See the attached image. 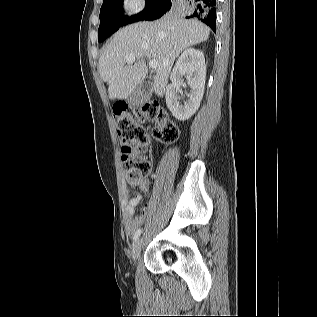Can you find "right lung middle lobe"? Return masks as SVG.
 <instances>
[{"instance_id": "obj_1", "label": "right lung middle lobe", "mask_w": 317, "mask_h": 317, "mask_svg": "<svg viewBox=\"0 0 317 317\" xmlns=\"http://www.w3.org/2000/svg\"><path fill=\"white\" fill-rule=\"evenodd\" d=\"M162 0H146L145 9L139 14L130 18L122 16L123 0H104L100 9V26L98 30V41L102 42L111 34L119 29L120 26L129 22L144 20L146 16L161 2ZM185 0H173L171 8L176 10Z\"/></svg>"}]
</instances>
